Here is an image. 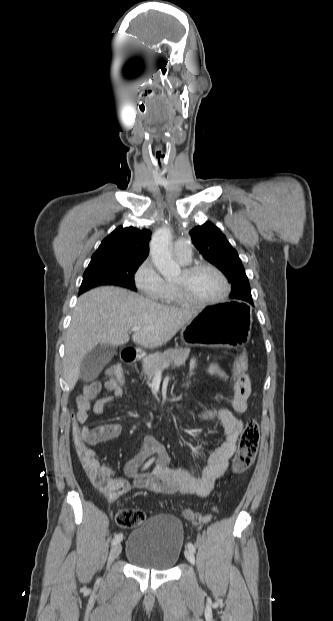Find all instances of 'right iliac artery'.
Listing matches in <instances>:
<instances>
[{
  "label": "right iliac artery",
  "mask_w": 333,
  "mask_h": 621,
  "mask_svg": "<svg viewBox=\"0 0 333 621\" xmlns=\"http://www.w3.org/2000/svg\"><path fill=\"white\" fill-rule=\"evenodd\" d=\"M154 461V458L150 459L143 467V469L148 468ZM123 539V535L122 533H118L114 536L113 541H112V545H116L118 543H120Z\"/></svg>",
  "instance_id": "1"
}]
</instances>
